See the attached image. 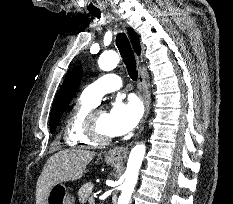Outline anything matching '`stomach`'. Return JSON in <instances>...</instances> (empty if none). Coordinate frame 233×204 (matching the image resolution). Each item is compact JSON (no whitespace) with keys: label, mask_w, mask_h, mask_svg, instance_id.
I'll use <instances>...</instances> for the list:
<instances>
[{"label":"stomach","mask_w":233,"mask_h":204,"mask_svg":"<svg viewBox=\"0 0 233 204\" xmlns=\"http://www.w3.org/2000/svg\"><path fill=\"white\" fill-rule=\"evenodd\" d=\"M106 162L110 165H116L119 161L106 158ZM71 195L68 188L62 183L55 184L51 187L48 195L46 204H70Z\"/></svg>","instance_id":"1"}]
</instances>
